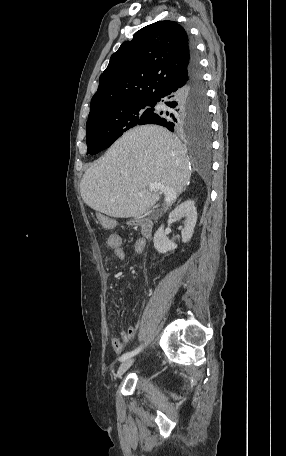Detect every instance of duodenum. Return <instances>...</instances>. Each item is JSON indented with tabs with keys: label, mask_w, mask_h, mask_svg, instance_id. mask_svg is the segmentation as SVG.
Instances as JSON below:
<instances>
[{
	"label": "duodenum",
	"mask_w": 286,
	"mask_h": 456,
	"mask_svg": "<svg viewBox=\"0 0 286 456\" xmlns=\"http://www.w3.org/2000/svg\"><path fill=\"white\" fill-rule=\"evenodd\" d=\"M137 225L140 230L141 239L148 240L152 233V224L148 219H142L137 221Z\"/></svg>",
	"instance_id": "obj_1"
}]
</instances>
